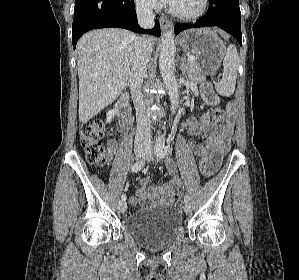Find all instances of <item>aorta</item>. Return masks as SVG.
Returning <instances> with one entry per match:
<instances>
[{
	"mask_svg": "<svg viewBox=\"0 0 299 280\" xmlns=\"http://www.w3.org/2000/svg\"><path fill=\"white\" fill-rule=\"evenodd\" d=\"M175 43L174 34L172 31H167L163 34L160 53H159V68L161 77L166 85L169 99L171 102V110L175 112L178 105L179 94L178 85L175 77Z\"/></svg>",
	"mask_w": 299,
	"mask_h": 280,
	"instance_id": "762f6f07",
	"label": "aorta"
}]
</instances>
